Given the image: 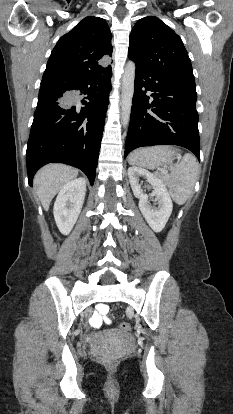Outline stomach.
Instances as JSON below:
<instances>
[{
  "label": "stomach",
  "mask_w": 233,
  "mask_h": 414,
  "mask_svg": "<svg viewBox=\"0 0 233 414\" xmlns=\"http://www.w3.org/2000/svg\"><path fill=\"white\" fill-rule=\"evenodd\" d=\"M177 154L170 147L158 146L137 150L136 159L144 167L155 169L172 163Z\"/></svg>",
  "instance_id": "1"
}]
</instances>
